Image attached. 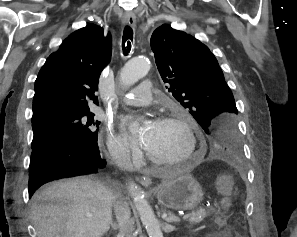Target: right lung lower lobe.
I'll return each mask as SVG.
<instances>
[{"instance_id":"right-lung-lower-lobe-1","label":"right lung lower lobe","mask_w":297,"mask_h":237,"mask_svg":"<svg viewBox=\"0 0 297 237\" xmlns=\"http://www.w3.org/2000/svg\"><path fill=\"white\" fill-rule=\"evenodd\" d=\"M106 165L97 142L84 143L65 133H50L32 143L29 166L30 197L43 184L96 174Z\"/></svg>"}]
</instances>
